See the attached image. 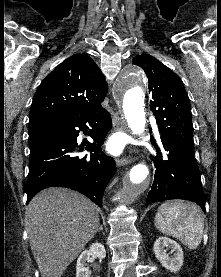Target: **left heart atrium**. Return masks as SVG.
Listing matches in <instances>:
<instances>
[{
	"label": "left heart atrium",
	"mask_w": 221,
	"mask_h": 277,
	"mask_svg": "<svg viewBox=\"0 0 221 277\" xmlns=\"http://www.w3.org/2000/svg\"><path fill=\"white\" fill-rule=\"evenodd\" d=\"M124 146V139L118 135L111 137L107 142V150L114 155L120 154L123 151Z\"/></svg>",
	"instance_id": "39dd6f15"
}]
</instances>
